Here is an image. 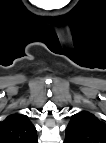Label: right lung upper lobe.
I'll return each mask as SVG.
<instances>
[{
	"label": "right lung upper lobe",
	"instance_id": "cb5924a9",
	"mask_svg": "<svg viewBox=\"0 0 106 143\" xmlns=\"http://www.w3.org/2000/svg\"><path fill=\"white\" fill-rule=\"evenodd\" d=\"M36 139V129L27 116L16 113L0 121V143H33Z\"/></svg>",
	"mask_w": 106,
	"mask_h": 143
}]
</instances>
